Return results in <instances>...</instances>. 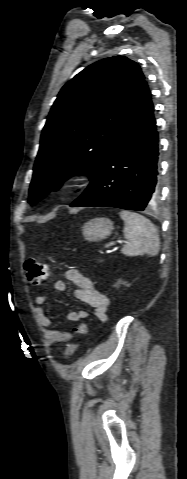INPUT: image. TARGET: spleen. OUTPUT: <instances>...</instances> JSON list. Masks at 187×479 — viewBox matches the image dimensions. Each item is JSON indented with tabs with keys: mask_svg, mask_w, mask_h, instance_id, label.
<instances>
[{
	"mask_svg": "<svg viewBox=\"0 0 187 479\" xmlns=\"http://www.w3.org/2000/svg\"><path fill=\"white\" fill-rule=\"evenodd\" d=\"M120 217L124 221V236L127 243L121 252L129 257L156 256L160 249V240L154 224L144 216L135 212L122 210Z\"/></svg>",
	"mask_w": 187,
	"mask_h": 479,
	"instance_id": "obj_1",
	"label": "spleen"
}]
</instances>
